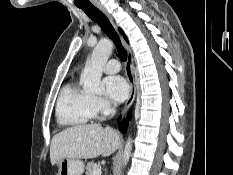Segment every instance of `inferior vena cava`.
Masks as SVG:
<instances>
[{
	"instance_id": "602c4592",
	"label": "inferior vena cava",
	"mask_w": 233,
	"mask_h": 175,
	"mask_svg": "<svg viewBox=\"0 0 233 175\" xmlns=\"http://www.w3.org/2000/svg\"><path fill=\"white\" fill-rule=\"evenodd\" d=\"M115 113V111H112V115Z\"/></svg>"
}]
</instances>
